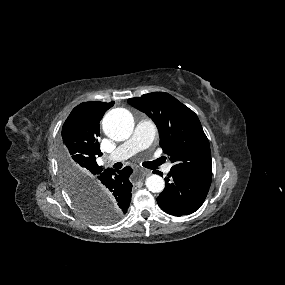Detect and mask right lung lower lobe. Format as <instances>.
I'll list each match as a JSON object with an SVG mask.
<instances>
[{"mask_svg": "<svg viewBox=\"0 0 285 285\" xmlns=\"http://www.w3.org/2000/svg\"><path fill=\"white\" fill-rule=\"evenodd\" d=\"M131 173L130 167L122 170L108 168L88 182V186L94 189L104 202L112 205L123 215L127 212L131 201L132 184L129 181Z\"/></svg>", "mask_w": 285, "mask_h": 285, "instance_id": "obj_1", "label": "right lung lower lobe"}]
</instances>
